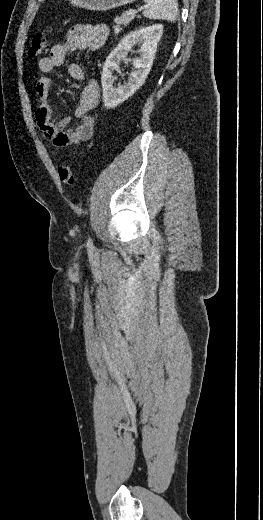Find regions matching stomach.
Returning a JSON list of instances; mask_svg holds the SVG:
<instances>
[{
  "label": "stomach",
  "instance_id": "1",
  "mask_svg": "<svg viewBox=\"0 0 263 520\" xmlns=\"http://www.w3.org/2000/svg\"><path fill=\"white\" fill-rule=\"evenodd\" d=\"M73 6L92 10L108 11L123 5L135 2L136 0H69Z\"/></svg>",
  "mask_w": 263,
  "mask_h": 520
}]
</instances>
